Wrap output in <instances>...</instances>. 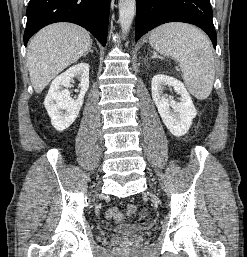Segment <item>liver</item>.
<instances>
[{"mask_svg": "<svg viewBox=\"0 0 247 257\" xmlns=\"http://www.w3.org/2000/svg\"><path fill=\"white\" fill-rule=\"evenodd\" d=\"M92 46L88 31L72 23H54L36 33L27 50L32 86L41 93L50 81Z\"/></svg>", "mask_w": 247, "mask_h": 257, "instance_id": "1", "label": "liver"}]
</instances>
